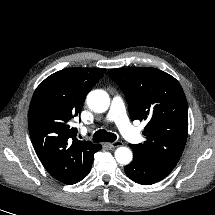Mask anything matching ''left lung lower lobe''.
Wrapping results in <instances>:
<instances>
[{"label": "left lung lower lobe", "mask_w": 215, "mask_h": 215, "mask_svg": "<svg viewBox=\"0 0 215 215\" xmlns=\"http://www.w3.org/2000/svg\"><path fill=\"white\" fill-rule=\"evenodd\" d=\"M133 150V161L125 166L126 175L136 183L151 185L164 179L172 170L165 169L152 162H148L140 150L130 145Z\"/></svg>", "instance_id": "1"}]
</instances>
